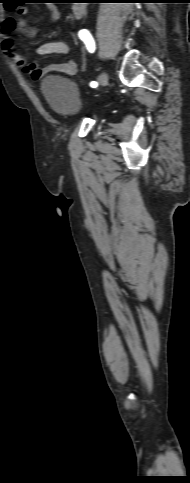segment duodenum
Wrapping results in <instances>:
<instances>
[{
    "label": "duodenum",
    "instance_id": "obj_1",
    "mask_svg": "<svg viewBox=\"0 0 190 483\" xmlns=\"http://www.w3.org/2000/svg\"><path fill=\"white\" fill-rule=\"evenodd\" d=\"M84 1L83 0H77L75 2V6L73 8V13H74V17L76 19L82 17L83 13H84V5H83Z\"/></svg>",
    "mask_w": 190,
    "mask_h": 483
}]
</instances>
